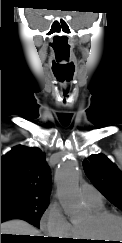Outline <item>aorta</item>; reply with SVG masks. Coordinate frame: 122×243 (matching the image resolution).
<instances>
[{
  "mask_svg": "<svg viewBox=\"0 0 122 243\" xmlns=\"http://www.w3.org/2000/svg\"><path fill=\"white\" fill-rule=\"evenodd\" d=\"M79 178L78 165L74 159L65 158L61 161L55 172L57 195L71 221L76 220L83 212V203L78 191Z\"/></svg>",
  "mask_w": 122,
  "mask_h": 243,
  "instance_id": "1",
  "label": "aorta"
}]
</instances>
